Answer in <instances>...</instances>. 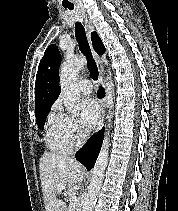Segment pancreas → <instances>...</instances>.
Returning a JSON list of instances; mask_svg holds the SVG:
<instances>
[{
	"label": "pancreas",
	"mask_w": 178,
	"mask_h": 211,
	"mask_svg": "<svg viewBox=\"0 0 178 211\" xmlns=\"http://www.w3.org/2000/svg\"><path fill=\"white\" fill-rule=\"evenodd\" d=\"M68 211H80V208H79V206L74 208V207H72V205H70Z\"/></svg>",
	"instance_id": "1"
}]
</instances>
